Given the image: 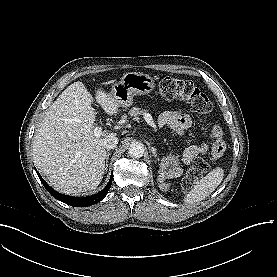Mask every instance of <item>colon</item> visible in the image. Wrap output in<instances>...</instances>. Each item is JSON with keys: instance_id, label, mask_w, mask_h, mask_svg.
Here are the masks:
<instances>
[{"instance_id": "obj_1", "label": "colon", "mask_w": 277, "mask_h": 277, "mask_svg": "<svg viewBox=\"0 0 277 277\" xmlns=\"http://www.w3.org/2000/svg\"><path fill=\"white\" fill-rule=\"evenodd\" d=\"M159 93L166 99L181 98L187 101L199 115L209 116L213 112L212 102L189 80L166 77L159 83ZM208 170L209 164L205 160H196L181 182L182 189L189 191Z\"/></svg>"}]
</instances>
